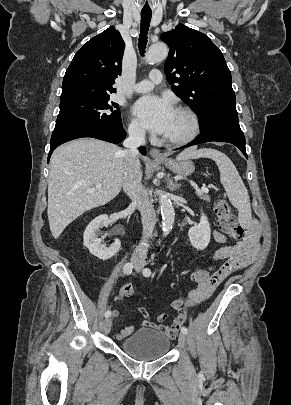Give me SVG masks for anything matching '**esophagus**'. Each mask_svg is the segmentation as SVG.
Here are the masks:
<instances>
[{"label":"esophagus","instance_id":"esophagus-1","mask_svg":"<svg viewBox=\"0 0 291 405\" xmlns=\"http://www.w3.org/2000/svg\"><path fill=\"white\" fill-rule=\"evenodd\" d=\"M150 156L153 158V159H163L164 158V156H163V154L160 152V150H158V149H151L150 150Z\"/></svg>","mask_w":291,"mask_h":405}]
</instances>
